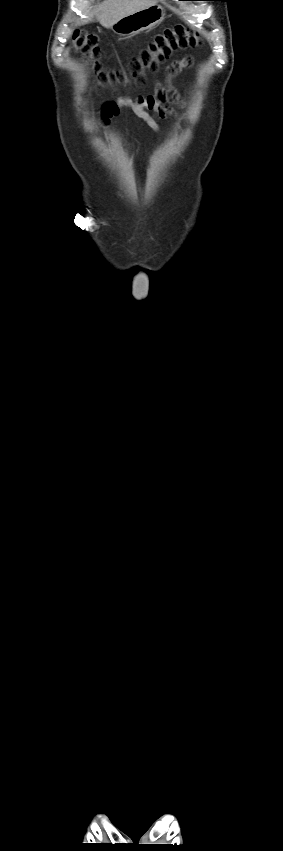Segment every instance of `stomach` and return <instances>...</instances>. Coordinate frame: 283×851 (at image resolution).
<instances>
[{"mask_svg": "<svg viewBox=\"0 0 283 851\" xmlns=\"http://www.w3.org/2000/svg\"><path fill=\"white\" fill-rule=\"evenodd\" d=\"M165 16V10L158 4L127 15L116 21L111 29L114 33L130 37L160 24Z\"/></svg>", "mask_w": 283, "mask_h": 851, "instance_id": "0dacf381", "label": "stomach"}]
</instances>
